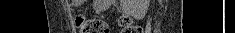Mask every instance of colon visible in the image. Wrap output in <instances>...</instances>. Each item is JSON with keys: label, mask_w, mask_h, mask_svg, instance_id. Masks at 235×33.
Returning <instances> with one entry per match:
<instances>
[{"label": "colon", "mask_w": 235, "mask_h": 33, "mask_svg": "<svg viewBox=\"0 0 235 33\" xmlns=\"http://www.w3.org/2000/svg\"><path fill=\"white\" fill-rule=\"evenodd\" d=\"M76 27L79 33H110L108 25L99 19L79 15L76 17ZM123 33H140L141 28L135 25L128 17L120 19Z\"/></svg>", "instance_id": "5ec220e1"}]
</instances>
